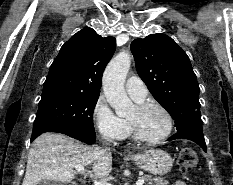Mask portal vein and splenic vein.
<instances>
[{"instance_id": "18ae733b", "label": "portal vein and splenic vein", "mask_w": 233, "mask_h": 185, "mask_svg": "<svg viewBox=\"0 0 233 185\" xmlns=\"http://www.w3.org/2000/svg\"><path fill=\"white\" fill-rule=\"evenodd\" d=\"M75 169L78 171V172H84V166L83 165H77L75 167ZM94 185H112L111 183H108L106 181H98V180H94L93 181ZM144 184V180L143 179H139L137 182H136V185H143Z\"/></svg>"}]
</instances>
